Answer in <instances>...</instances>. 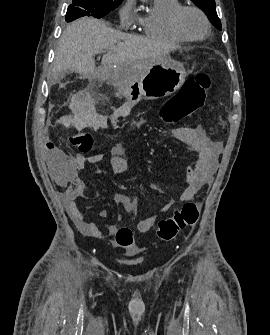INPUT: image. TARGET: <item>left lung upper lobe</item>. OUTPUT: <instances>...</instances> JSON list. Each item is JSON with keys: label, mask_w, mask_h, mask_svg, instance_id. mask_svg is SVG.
Returning <instances> with one entry per match:
<instances>
[{"label": "left lung upper lobe", "mask_w": 270, "mask_h": 335, "mask_svg": "<svg viewBox=\"0 0 270 335\" xmlns=\"http://www.w3.org/2000/svg\"><path fill=\"white\" fill-rule=\"evenodd\" d=\"M207 15L210 22L218 29L222 30L221 22L216 12L214 0H192Z\"/></svg>", "instance_id": "1"}]
</instances>
